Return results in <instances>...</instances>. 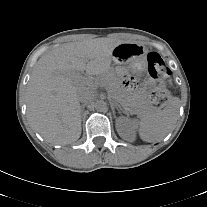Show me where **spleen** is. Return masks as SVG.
Returning a JSON list of instances; mask_svg holds the SVG:
<instances>
[{
  "label": "spleen",
  "mask_w": 207,
  "mask_h": 207,
  "mask_svg": "<svg viewBox=\"0 0 207 207\" xmlns=\"http://www.w3.org/2000/svg\"><path fill=\"white\" fill-rule=\"evenodd\" d=\"M180 100L171 98L165 109L157 114L132 120L131 127L137 129L143 141L155 142L164 138L175 126L179 116Z\"/></svg>",
  "instance_id": "spleen-1"
}]
</instances>
